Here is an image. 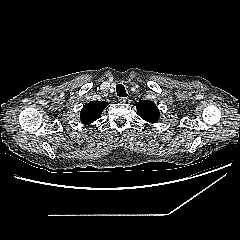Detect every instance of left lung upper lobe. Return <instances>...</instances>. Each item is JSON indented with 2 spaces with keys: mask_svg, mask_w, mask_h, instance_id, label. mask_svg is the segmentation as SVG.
<instances>
[{
  "mask_svg": "<svg viewBox=\"0 0 240 240\" xmlns=\"http://www.w3.org/2000/svg\"><path fill=\"white\" fill-rule=\"evenodd\" d=\"M138 115L149 123H156L160 117L155 103L149 100H141L135 104Z\"/></svg>",
  "mask_w": 240,
  "mask_h": 240,
  "instance_id": "left-lung-upper-lobe-1",
  "label": "left lung upper lobe"
}]
</instances>
